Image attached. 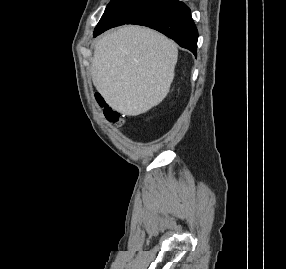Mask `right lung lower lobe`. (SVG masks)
Returning a JSON list of instances; mask_svg holds the SVG:
<instances>
[{"instance_id": "right-lung-lower-lobe-1", "label": "right lung lower lobe", "mask_w": 286, "mask_h": 269, "mask_svg": "<svg viewBox=\"0 0 286 269\" xmlns=\"http://www.w3.org/2000/svg\"><path fill=\"white\" fill-rule=\"evenodd\" d=\"M126 24H138L153 28L196 55L197 28L191 17L190 9L178 0H161ZM104 31H94V36Z\"/></svg>"}]
</instances>
